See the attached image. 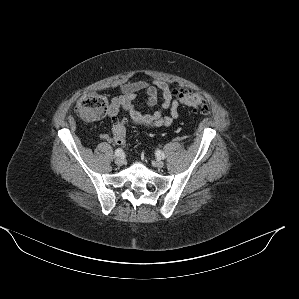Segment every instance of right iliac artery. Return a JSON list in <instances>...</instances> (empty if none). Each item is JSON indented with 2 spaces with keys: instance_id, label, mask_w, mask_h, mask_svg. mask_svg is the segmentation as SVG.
Masks as SVG:
<instances>
[{
  "instance_id": "1",
  "label": "right iliac artery",
  "mask_w": 299,
  "mask_h": 299,
  "mask_svg": "<svg viewBox=\"0 0 299 299\" xmlns=\"http://www.w3.org/2000/svg\"><path fill=\"white\" fill-rule=\"evenodd\" d=\"M123 150L121 148H118L116 151H115V155L116 156H122L123 155Z\"/></svg>"
}]
</instances>
